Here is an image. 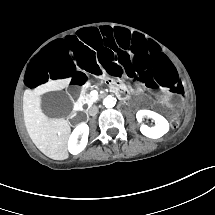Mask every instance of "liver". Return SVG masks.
Listing matches in <instances>:
<instances>
[{
    "label": "liver",
    "instance_id": "6515ba94",
    "mask_svg": "<svg viewBox=\"0 0 215 215\" xmlns=\"http://www.w3.org/2000/svg\"><path fill=\"white\" fill-rule=\"evenodd\" d=\"M70 82L71 78L49 81L42 85L38 92L27 90L24 93L23 111L26 130L36 147L55 160L68 158L67 142L71 128L64 118H48L41 110L40 100H35L31 96L62 90L68 87Z\"/></svg>",
    "mask_w": 215,
    "mask_h": 215
}]
</instances>
